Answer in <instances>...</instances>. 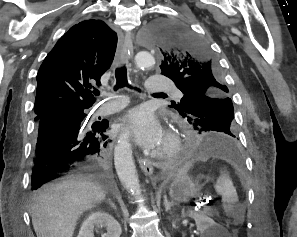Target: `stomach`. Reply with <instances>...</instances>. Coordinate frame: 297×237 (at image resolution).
Instances as JSON below:
<instances>
[{
  "label": "stomach",
  "instance_id": "1",
  "mask_svg": "<svg viewBox=\"0 0 297 237\" xmlns=\"http://www.w3.org/2000/svg\"><path fill=\"white\" fill-rule=\"evenodd\" d=\"M202 185L187 173L177 175L169 186V196L176 203L186 202L199 195Z\"/></svg>",
  "mask_w": 297,
  "mask_h": 237
}]
</instances>
